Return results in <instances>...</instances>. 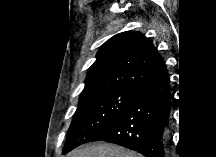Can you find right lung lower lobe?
<instances>
[{"label": "right lung lower lobe", "instance_id": "1", "mask_svg": "<svg viewBox=\"0 0 216 157\" xmlns=\"http://www.w3.org/2000/svg\"><path fill=\"white\" fill-rule=\"evenodd\" d=\"M171 93L168 71L133 88L119 118L93 141L133 149L144 157H166Z\"/></svg>", "mask_w": 216, "mask_h": 157}]
</instances>
